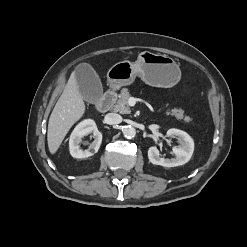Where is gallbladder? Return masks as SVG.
I'll return each instance as SVG.
<instances>
[{
  "instance_id": "1",
  "label": "gallbladder",
  "mask_w": 247,
  "mask_h": 247,
  "mask_svg": "<svg viewBox=\"0 0 247 247\" xmlns=\"http://www.w3.org/2000/svg\"><path fill=\"white\" fill-rule=\"evenodd\" d=\"M74 74L82 98L92 104L98 103L103 95V87L93 67L87 63L79 64Z\"/></svg>"
}]
</instances>
